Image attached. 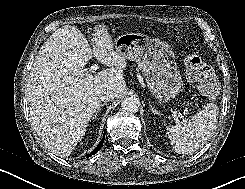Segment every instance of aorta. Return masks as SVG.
I'll return each instance as SVG.
<instances>
[{"instance_id":"1","label":"aorta","mask_w":245,"mask_h":189,"mask_svg":"<svg viewBox=\"0 0 245 189\" xmlns=\"http://www.w3.org/2000/svg\"><path fill=\"white\" fill-rule=\"evenodd\" d=\"M121 107L124 111L135 113L139 108V101L134 97H127L121 102Z\"/></svg>"}]
</instances>
